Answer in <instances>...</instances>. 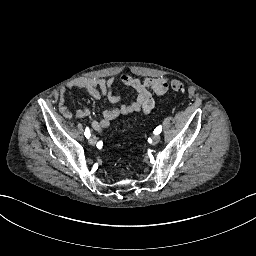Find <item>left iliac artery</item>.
I'll return each mask as SVG.
<instances>
[{"mask_svg":"<svg viewBox=\"0 0 256 256\" xmlns=\"http://www.w3.org/2000/svg\"><path fill=\"white\" fill-rule=\"evenodd\" d=\"M161 131H162V126H158V127H156V129L154 130V134L155 135H158V134H160L161 133Z\"/></svg>","mask_w":256,"mask_h":256,"instance_id":"44dca946","label":"left iliac artery"}]
</instances>
